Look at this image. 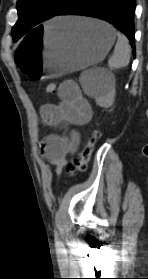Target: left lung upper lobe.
Here are the masks:
<instances>
[{
  "label": "left lung upper lobe",
  "instance_id": "obj_1",
  "mask_svg": "<svg viewBox=\"0 0 148 279\" xmlns=\"http://www.w3.org/2000/svg\"><path fill=\"white\" fill-rule=\"evenodd\" d=\"M71 0H18V21L12 28L13 40L60 12Z\"/></svg>",
  "mask_w": 148,
  "mask_h": 279
}]
</instances>
